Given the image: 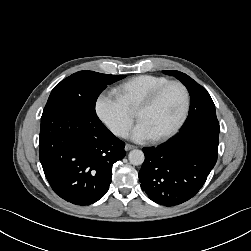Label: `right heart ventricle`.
Masks as SVG:
<instances>
[{"label":"right heart ventricle","mask_w":251,"mask_h":251,"mask_svg":"<svg viewBox=\"0 0 251 251\" xmlns=\"http://www.w3.org/2000/svg\"><path fill=\"white\" fill-rule=\"evenodd\" d=\"M169 79L156 75H139L116 88V92L131 112H135L140 103L154 90L168 82Z\"/></svg>","instance_id":"e07e8e85"}]
</instances>
